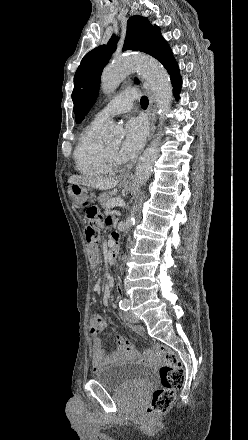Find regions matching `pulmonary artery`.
<instances>
[{"label": "pulmonary artery", "mask_w": 248, "mask_h": 440, "mask_svg": "<svg viewBox=\"0 0 248 440\" xmlns=\"http://www.w3.org/2000/svg\"><path fill=\"white\" fill-rule=\"evenodd\" d=\"M138 97L136 89H127L115 96L105 107L95 115V121L105 123L110 118L128 112L132 108L133 101Z\"/></svg>", "instance_id": "pulmonary-artery-1"}]
</instances>
